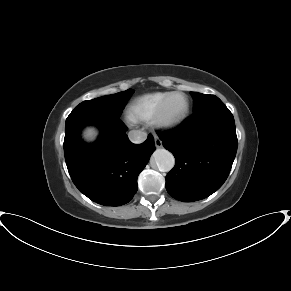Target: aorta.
<instances>
[{
    "label": "aorta",
    "instance_id": "obj_1",
    "mask_svg": "<svg viewBox=\"0 0 291 291\" xmlns=\"http://www.w3.org/2000/svg\"><path fill=\"white\" fill-rule=\"evenodd\" d=\"M153 160L159 171L169 172L175 165L173 154L166 149H156L153 153Z\"/></svg>",
    "mask_w": 291,
    "mask_h": 291
}]
</instances>
